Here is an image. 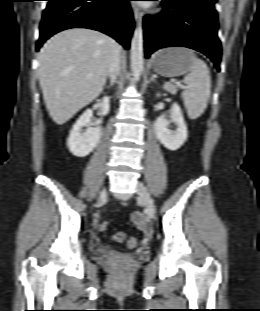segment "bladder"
I'll list each match as a JSON object with an SVG mask.
<instances>
[{"label": "bladder", "mask_w": 260, "mask_h": 311, "mask_svg": "<svg viewBox=\"0 0 260 311\" xmlns=\"http://www.w3.org/2000/svg\"><path fill=\"white\" fill-rule=\"evenodd\" d=\"M92 253L101 258L109 257L112 253V251L104 246L94 245L91 247Z\"/></svg>", "instance_id": "31cf9c89"}]
</instances>
